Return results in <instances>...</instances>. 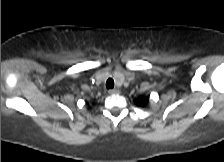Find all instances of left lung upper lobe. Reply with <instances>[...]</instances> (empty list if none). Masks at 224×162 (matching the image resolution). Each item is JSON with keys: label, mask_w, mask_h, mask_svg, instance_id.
I'll return each mask as SVG.
<instances>
[{"label": "left lung upper lobe", "mask_w": 224, "mask_h": 162, "mask_svg": "<svg viewBox=\"0 0 224 162\" xmlns=\"http://www.w3.org/2000/svg\"><path fill=\"white\" fill-rule=\"evenodd\" d=\"M136 102H137V104H138L139 106L144 107V106H146L147 103H148V98L140 97V98L137 99Z\"/></svg>", "instance_id": "obj_1"}]
</instances>
